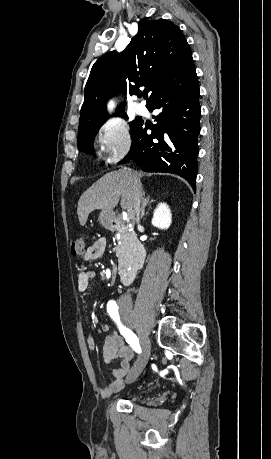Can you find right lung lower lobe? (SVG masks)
I'll return each mask as SVG.
<instances>
[{"label": "right lung lower lobe", "mask_w": 271, "mask_h": 459, "mask_svg": "<svg viewBox=\"0 0 271 459\" xmlns=\"http://www.w3.org/2000/svg\"><path fill=\"white\" fill-rule=\"evenodd\" d=\"M200 90L196 72L163 86L147 101V109L161 112L152 133L141 123L133 130L129 154L120 162L134 160L144 171L168 172L185 178L195 190L198 136L200 133Z\"/></svg>", "instance_id": "right-lung-lower-lobe-1"}]
</instances>
